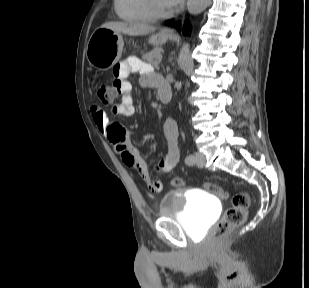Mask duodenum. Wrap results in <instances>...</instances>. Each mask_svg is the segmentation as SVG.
I'll use <instances>...</instances> for the list:
<instances>
[{
  "label": "duodenum",
  "instance_id": "1",
  "mask_svg": "<svg viewBox=\"0 0 309 288\" xmlns=\"http://www.w3.org/2000/svg\"><path fill=\"white\" fill-rule=\"evenodd\" d=\"M158 93H159V99L163 103H169L172 99V91L171 87L166 81H161L159 88H158Z\"/></svg>",
  "mask_w": 309,
  "mask_h": 288
}]
</instances>
